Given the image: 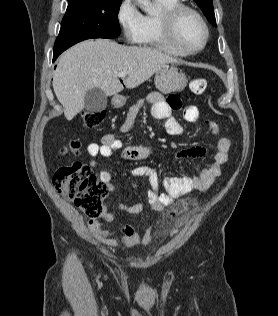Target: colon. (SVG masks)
Listing matches in <instances>:
<instances>
[{
    "label": "colon",
    "mask_w": 278,
    "mask_h": 316,
    "mask_svg": "<svg viewBox=\"0 0 278 316\" xmlns=\"http://www.w3.org/2000/svg\"><path fill=\"white\" fill-rule=\"evenodd\" d=\"M207 88L204 78L193 79L190 82V90L196 95H201ZM104 112H84L82 120L86 127L94 128L104 120ZM80 142L71 139L63 148V153L78 154ZM52 183L56 190L63 196L71 199L77 207L91 220H96L104 212L103 201L108 194V187L99 181L90 168L79 162L59 167L53 174ZM180 213L173 212L170 218L179 220Z\"/></svg>",
    "instance_id": "1"
}]
</instances>
